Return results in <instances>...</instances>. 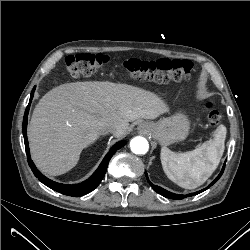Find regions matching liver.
I'll use <instances>...</instances> for the list:
<instances>
[{
	"instance_id": "obj_1",
	"label": "liver",
	"mask_w": 250,
	"mask_h": 250,
	"mask_svg": "<svg viewBox=\"0 0 250 250\" xmlns=\"http://www.w3.org/2000/svg\"><path fill=\"white\" fill-rule=\"evenodd\" d=\"M168 112L155 94L126 84L86 81L47 92L36 105L28 128L31 156L44 173L57 176L77 164L84 148L109 124L123 137L129 122L156 119Z\"/></svg>"
}]
</instances>
